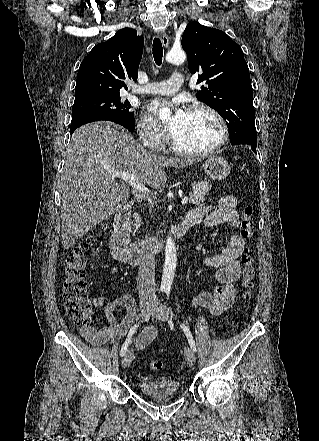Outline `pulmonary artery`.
Wrapping results in <instances>:
<instances>
[{"instance_id":"e3ab8cb5","label":"pulmonary artery","mask_w":319,"mask_h":441,"mask_svg":"<svg viewBox=\"0 0 319 441\" xmlns=\"http://www.w3.org/2000/svg\"><path fill=\"white\" fill-rule=\"evenodd\" d=\"M184 83L182 74H173L166 81L153 82L147 87H138L134 89L135 93H151L169 95L178 91Z\"/></svg>"}]
</instances>
